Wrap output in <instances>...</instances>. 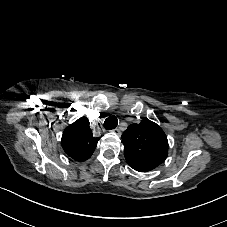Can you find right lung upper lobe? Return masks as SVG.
<instances>
[{
    "label": "right lung upper lobe",
    "mask_w": 227,
    "mask_h": 227,
    "mask_svg": "<svg viewBox=\"0 0 227 227\" xmlns=\"http://www.w3.org/2000/svg\"><path fill=\"white\" fill-rule=\"evenodd\" d=\"M98 140L93 137L87 118L81 117L66 127L61 142L69 157L82 162L91 157Z\"/></svg>",
    "instance_id": "cb5924a9"
}]
</instances>
